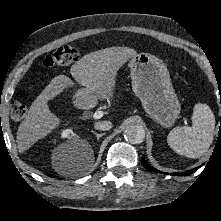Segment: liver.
<instances>
[{
    "label": "liver",
    "instance_id": "obj_1",
    "mask_svg": "<svg viewBox=\"0 0 221 221\" xmlns=\"http://www.w3.org/2000/svg\"><path fill=\"white\" fill-rule=\"evenodd\" d=\"M136 50L128 47H110L83 56L70 69L72 77L85 87L90 100H104L113 96L119 69ZM74 84L65 75L54 77L30 106L17 131V145L21 152L28 150L38 140L51 133L61 119L51 113L48 101Z\"/></svg>",
    "mask_w": 221,
    "mask_h": 221
}]
</instances>
